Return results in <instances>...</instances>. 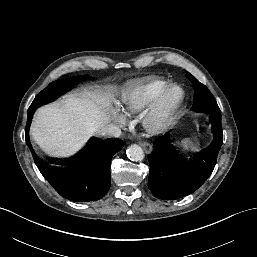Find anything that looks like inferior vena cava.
<instances>
[{
  "instance_id": "inferior-vena-cava-1",
  "label": "inferior vena cava",
  "mask_w": 257,
  "mask_h": 257,
  "mask_svg": "<svg viewBox=\"0 0 257 257\" xmlns=\"http://www.w3.org/2000/svg\"><path fill=\"white\" fill-rule=\"evenodd\" d=\"M103 133L110 137H119L121 135V130L115 125H107L103 128Z\"/></svg>"
}]
</instances>
